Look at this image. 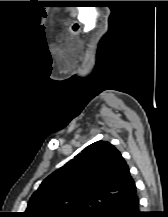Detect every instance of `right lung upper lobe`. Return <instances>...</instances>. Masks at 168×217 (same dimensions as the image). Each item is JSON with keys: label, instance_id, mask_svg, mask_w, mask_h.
Returning <instances> with one entry per match:
<instances>
[{"label": "right lung upper lobe", "instance_id": "right-lung-upper-lobe-1", "mask_svg": "<svg viewBox=\"0 0 168 217\" xmlns=\"http://www.w3.org/2000/svg\"><path fill=\"white\" fill-rule=\"evenodd\" d=\"M136 192L129 167L109 142H95L48 176L23 217H97L110 204Z\"/></svg>", "mask_w": 168, "mask_h": 217}]
</instances>
